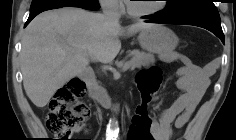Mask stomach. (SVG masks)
I'll return each mask as SVG.
<instances>
[{
  "instance_id": "obj_1",
  "label": "stomach",
  "mask_w": 236,
  "mask_h": 140,
  "mask_svg": "<svg viewBox=\"0 0 236 140\" xmlns=\"http://www.w3.org/2000/svg\"><path fill=\"white\" fill-rule=\"evenodd\" d=\"M138 40L143 49L159 55L171 53L178 44L175 33L159 24L142 30Z\"/></svg>"
}]
</instances>
